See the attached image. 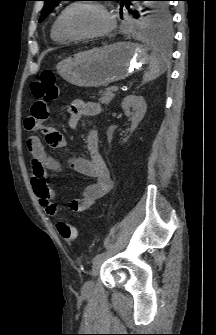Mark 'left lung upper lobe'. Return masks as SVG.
<instances>
[{
  "label": "left lung upper lobe",
  "instance_id": "5c2ea615",
  "mask_svg": "<svg viewBox=\"0 0 216 335\" xmlns=\"http://www.w3.org/2000/svg\"><path fill=\"white\" fill-rule=\"evenodd\" d=\"M45 5L41 11V17L39 22L43 21L57 6L60 1L63 0H43ZM120 2V14L122 15V8L125 6L129 12H131L135 18L140 19V27L150 33L170 36L172 18L169 11L168 0H136L143 1L145 4L143 9L139 12L134 10L130 6L132 0H112Z\"/></svg>",
  "mask_w": 216,
  "mask_h": 335
}]
</instances>
